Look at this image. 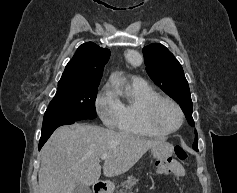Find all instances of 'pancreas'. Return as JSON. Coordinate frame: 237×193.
I'll list each match as a JSON object with an SVG mask.
<instances>
[{"instance_id": "cf45deb5", "label": "pancreas", "mask_w": 237, "mask_h": 193, "mask_svg": "<svg viewBox=\"0 0 237 193\" xmlns=\"http://www.w3.org/2000/svg\"><path fill=\"white\" fill-rule=\"evenodd\" d=\"M137 181H138V179H136L133 176L128 177V179L124 182V185H123L124 192L120 191L119 193H126V190L128 188L132 187Z\"/></svg>"}]
</instances>
